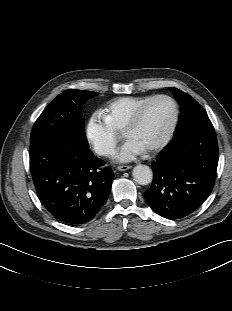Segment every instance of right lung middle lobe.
<instances>
[{
    "label": "right lung middle lobe",
    "instance_id": "1",
    "mask_svg": "<svg viewBox=\"0 0 232 311\" xmlns=\"http://www.w3.org/2000/svg\"><path fill=\"white\" fill-rule=\"evenodd\" d=\"M97 92L68 89L59 94L36 120L30 142L48 136H66L88 148L81 106Z\"/></svg>",
    "mask_w": 232,
    "mask_h": 311
}]
</instances>
